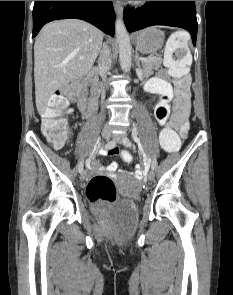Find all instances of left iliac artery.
I'll list each match as a JSON object with an SVG mask.
<instances>
[{"instance_id":"obj_1","label":"left iliac artery","mask_w":233,"mask_h":295,"mask_svg":"<svg viewBox=\"0 0 233 295\" xmlns=\"http://www.w3.org/2000/svg\"><path fill=\"white\" fill-rule=\"evenodd\" d=\"M125 144L126 145H130L131 144V141L128 138H126ZM156 165H157V162L156 161H153L152 164H151V169H156Z\"/></svg>"}]
</instances>
